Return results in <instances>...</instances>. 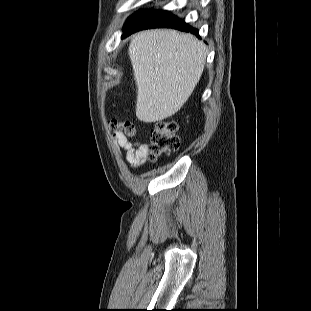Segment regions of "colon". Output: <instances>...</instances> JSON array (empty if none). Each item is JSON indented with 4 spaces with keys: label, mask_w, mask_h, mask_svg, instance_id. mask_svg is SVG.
<instances>
[{
    "label": "colon",
    "mask_w": 311,
    "mask_h": 311,
    "mask_svg": "<svg viewBox=\"0 0 311 311\" xmlns=\"http://www.w3.org/2000/svg\"><path fill=\"white\" fill-rule=\"evenodd\" d=\"M113 130L122 131L130 136L134 135L137 128L129 121L113 120L110 123ZM177 124L173 121L157 123L150 131L149 158L155 160L163 154H170L179 148L180 140L176 134Z\"/></svg>",
    "instance_id": "1"
}]
</instances>
